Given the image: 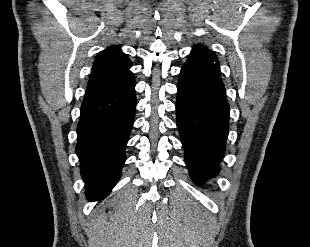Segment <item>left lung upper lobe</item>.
Returning a JSON list of instances; mask_svg holds the SVG:
<instances>
[{
    "instance_id": "left-lung-upper-lobe-1",
    "label": "left lung upper lobe",
    "mask_w": 310,
    "mask_h": 247,
    "mask_svg": "<svg viewBox=\"0 0 310 247\" xmlns=\"http://www.w3.org/2000/svg\"><path fill=\"white\" fill-rule=\"evenodd\" d=\"M186 68L206 71L215 75H219V61L215 54L207 50L202 45H196L188 56Z\"/></svg>"
}]
</instances>
